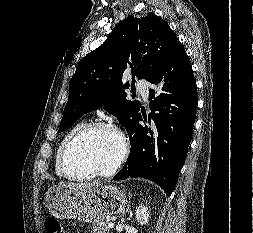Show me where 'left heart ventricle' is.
<instances>
[{
	"label": "left heart ventricle",
	"instance_id": "1",
	"mask_svg": "<svg viewBox=\"0 0 253 233\" xmlns=\"http://www.w3.org/2000/svg\"><path fill=\"white\" fill-rule=\"evenodd\" d=\"M121 143L109 130H95L81 137L68 155V168L74 175L109 169L119 157Z\"/></svg>",
	"mask_w": 253,
	"mask_h": 233
}]
</instances>
